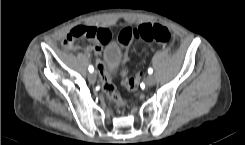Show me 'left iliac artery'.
I'll return each mask as SVG.
<instances>
[{"mask_svg": "<svg viewBox=\"0 0 245 145\" xmlns=\"http://www.w3.org/2000/svg\"><path fill=\"white\" fill-rule=\"evenodd\" d=\"M148 73H149V74H152V73H153V69H152V68H149V69H148Z\"/></svg>", "mask_w": 245, "mask_h": 145, "instance_id": "obj_1", "label": "left iliac artery"}]
</instances>
